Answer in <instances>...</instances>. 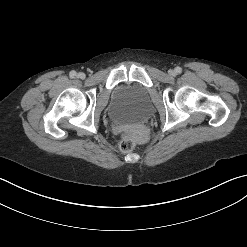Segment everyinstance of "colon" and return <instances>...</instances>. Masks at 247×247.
Here are the masks:
<instances>
[{
  "label": "colon",
  "mask_w": 247,
  "mask_h": 247,
  "mask_svg": "<svg viewBox=\"0 0 247 247\" xmlns=\"http://www.w3.org/2000/svg\"><path fill=\"white\" fill-rule=\"evenodd\" d=\"M135 146V138L130 134H124L119 142L118 148L123 153H129L135 148Z\"/></svg>",
  "instance_id": "colon-1"
}]
</instances>
